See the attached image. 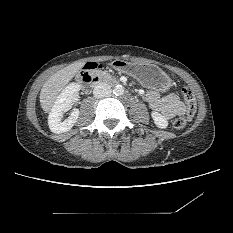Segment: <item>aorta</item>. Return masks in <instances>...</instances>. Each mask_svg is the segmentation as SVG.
Wrapping results in <instances>:
<instances>
[{
  "mask_svg": "<svg viewBox=\"0 0 233 233\" xmlns=\"http://www.w3.org/2000/svg\"><path fill=\"white\" fill-rule=\"evenodd\" d=\"M113 93H114L116 96L123 95V93H124V88H123L121 85H117V86L114 87Z\"/></svg>",
  "mask_w": 233,
  "mask_h": 233,
  "instance_id": "obj_1",
  "label": "aorta"
}]
</instances>
